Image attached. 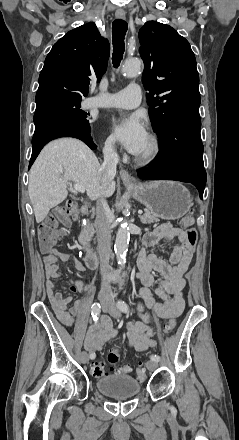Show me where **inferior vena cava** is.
<instances>
[{
	"label": "inferior vena cava",
	"instance_id": "1",
	"mask_svg": "<svg viewBox=\"0 0 239 440\" xmlns=\"http://www.w3.org/2000/svg\"><path fill=\"white\" fill-rule=\"evenodd\" d=\"M104 162L100 168L103 184H109L116 176V166L119 156L115 148L114 138H108L105 142ZM110 208L105 198H98L96 202V232L98 238V254L100 258L101 274L105 276L110 270L109 260L111 254V226H110ZM100 300L101 307H116L112 294L111 286L108 280H102Z\"/></svg>",
	"mask_w": 239,
	"mask_h": 440
}]
</instances>
